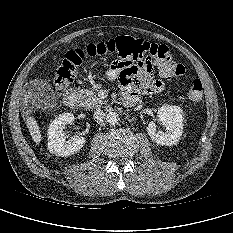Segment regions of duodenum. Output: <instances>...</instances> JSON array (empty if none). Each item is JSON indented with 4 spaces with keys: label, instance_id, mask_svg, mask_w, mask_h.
<instances>
[{
    "label": "duodenum",
    "instance_id": "410a0bca",
    "mask_svg": "<svg viewBox=\"0 0 233 233\" xmlns=\"http://www.w3.org/2000/svg\"><path fill=\"white\" fill-rule=\"evenodd\" d=\"M138 97L134 94H127L124 96V102L127 106H133L136 104ZM66 106L70 108H77L79 106V96L75 89H69L63 99Z\"/></svg>",
    "mask_w": 233,
    "mask_h": 233
}]
</instances>
